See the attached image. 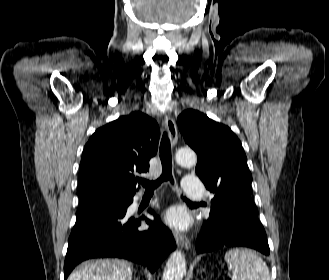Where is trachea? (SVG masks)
<instances>
[{
  "mask_svg": "<svg viewBox=\"0 0 329 280\" xmlns=\"http://www.w3.org/2000/svg\"><path fill=\"white\" fill-rule=\"evenodd\" d=\"M160 160L162 163V174L155 181H149L145 179L139 180V183L146 189V191H154L162 182L170 181L172 184V155L170 140L167 135H164L160 144Z\"/></svg>",
  "mask_w": 329,
  "mask_h": 280,
  "instance_id": "trachea-1",
  "label": "trachea"
}]
</instances>
